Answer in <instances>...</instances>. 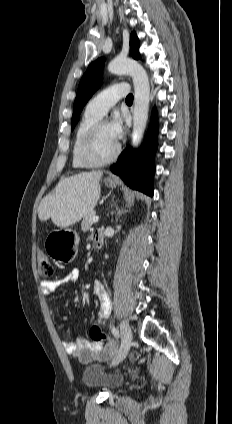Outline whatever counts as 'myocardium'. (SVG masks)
Masks as SVG:
<instances>
[{
    "label": "myocardium",
    "mask_w": 232,
    "mask_h": 424,
    "mask_svg": "<svg viewBox=\"0 0 232 424\" xmlns=\"http://www.w3.org/2000/svg\"><path fill=\"white\" fill-rule=\"evenodd\" d=\"M105 124H108L106 119L100 118L97 120L87 131L85 136L83 137L80 147H79V157L84 164L89 167H98L110 164L113 162L119 155L121 146L117 143L115 151L106 158L98 159L93 156L92 150L96 140V137L101 129V127Z\"/></svg>",
    "instance_id": "f54148a6"
}]
</instances>
